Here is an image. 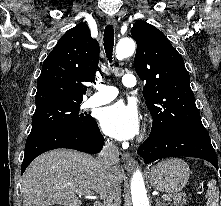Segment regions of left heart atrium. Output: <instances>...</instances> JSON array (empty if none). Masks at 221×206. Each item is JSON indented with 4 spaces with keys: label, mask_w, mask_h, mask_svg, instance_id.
Listing matches in <instances>:
<instances>
[{
    "label": "left heart atrium",
    "mask_w": 221,
    "mask_h": 206,
    "mask_svg": "<svg viewBox=\"0 0 221 206\" xmlns=\"http://www.w3.org/2000/svg\"><path fill=\"white\" fill-rule=\"evenodd\" d=\"M99 122L106 134L119 140L130 139L139 131V114L136 107L122 101L103 108Z\"/></svg>",
    "instance_id": "1"
}]
</instances>
